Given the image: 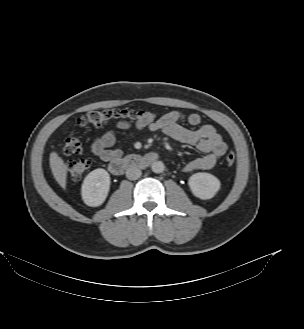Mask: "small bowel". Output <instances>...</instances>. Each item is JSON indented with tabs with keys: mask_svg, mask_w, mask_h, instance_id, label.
Here are the masks:
<instances>
[{
	"mask_svg": "<svg viewBox=\"0 0 304 329\" xmlns=\"http://www.w3.org/2000/svg\"><path fill=\"white\" fill-rule=\"evenodd\" d=\"M182 121H186L196 128H186L180 124ZM201 122L202 119L198 113L184 115L179 110H172L161 115L152 123L139 124L136 125V128L162 131L177 142L196 147L203 155L190 160L183 167L185 172H193L213 168L227 151V144L217 130L212 125L201 124ZM115 127L120 130H127L130 128V124L118 123L115 124ZM91 150L95 156L104 162L118 159L122 155V149L116 143L115 130L103 132L99 138L92 142Z\"/></svg>",
	"mask_w": 304,
	"mask_h": 329,
	"instance_id": "1",
	"label": "small bowel"
}]
</instances>
